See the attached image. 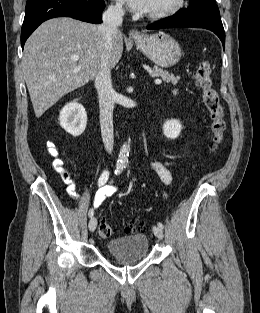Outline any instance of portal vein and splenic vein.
I'll return each instance as SVG.
<instances>
[{"label":"portal vein and splenic vein","instance_id":"1","mask_svg":"<svg viewBox=\"0 0 260 313\" xmlns=\"http://www.w3.org/2000/svg\"><path fill=\"white\" fill-rule=\"evenodd\" d=\"M73 60L77 61V60H79V58H78L77 56H75V57H73ZM150 73H152V72H150ZM155 83H156V84H161L162 81H161V79H156V80H155Z\"/></svg>","mask_w":260,"mask_h":313}]
</instances>
